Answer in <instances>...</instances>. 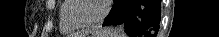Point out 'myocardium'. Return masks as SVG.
<instances>
[{
  "label": "myocardium",
  "instance_id": "f54148a6",
  "mask_svg": "<svg viewBox=\"0 0 219 37\" xmlns=\"http://www.w3.org/2000/svg\"><path fill=\"white\" fill-rule=\"evenodd\" d=\"M67 2L70 4V7L68 8V10L65 12V19L66 21L73 27L75 28H79V29H82V28H88V27H92V26H95L97 24H99L100 22H102L106 15L108 14V11H109V5H110V0H102V11L101 13L99 14L98 17H96L95 19L93 20H90V21H87V22H82V23H78V22H75L73 21L71 18H70V13L71 11L75 8L76 4H75V0H67Z\"/></svg>",
  "mask_w": 219,
  "mask_h": 37
}]
</instances>
